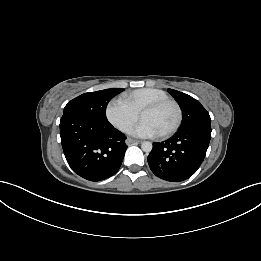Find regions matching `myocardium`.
I'll return each instance as SVG.
<instances>
[{"mask_svg": "<svg viewBox=\"0 0 261 261\" xmlns=\"http://www.w3.org/2000/svg\"><path fill=\"white\" fill-rule=\"evenodd\" d=\"M166 105L174 106L175 109H176L177 116H176V120H175L174 124L168 130L163 132L161 134L162 136H170L173 133H175L177 131V129L179 128V126H180V124L182 122V110H181L180 105L175 100H172V99L168 98V99L159 100V101H155V102L149 103L141 111V114H142L145 111L157 110V109L162 108V107H164Z\"/></svg>", "mask_w": 261, "mask_h": 261, "instance_id": "1", "label": "myocardium"}]
</instances>
